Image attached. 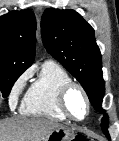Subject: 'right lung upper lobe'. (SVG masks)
Returning <instances> with one entry per match:
<instances>
[{
    "mask_svg": "<svg viewBox=\"0 0 119 141\" xmlns=\"http://www.w3.org/2000/svg\"><path fill=\"white\" fill-rule=\"evenodd\" d=\"M36 19L29 10L0 17V71L24 72L35 58Z\"/></svg>",
    "mask_w": 119,
    "mask_h": 141,
    "instance_id": "right-lung-upper-lobe-1",
    "label": "right lung upper lobe"
}]
</instances>
